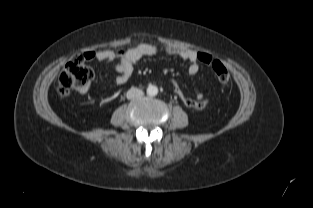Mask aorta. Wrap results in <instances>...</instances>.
<instances>
[{
    "instance_id": "obj_1",
    "label": "aorta",
    "mask_w": 313,
    "mask_h": 208,
    "mask_svg": "<svg viewBox=\"0 0 313 208\" xmlns=\"http://www.w3.org/2000/svg\"><path fill=\"white\" fill-rule=\"evenodd\" d=\"M147 94L149 96H155L158 94V88L155 85H149L147 87Z\"/></svg>"
}]
</instances>
